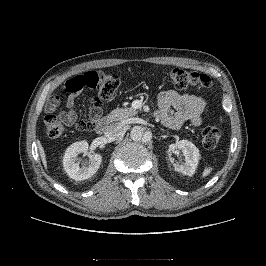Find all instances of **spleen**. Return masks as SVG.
<instances>
[{"instance_id":"1","label":"spleen","mask_w":266,"mask_h":266,"mask_svg":"<svg viewBox=\"0 0 266 266\" xmlns=\"http://www.w3.org/2000/svg\"><path fill=\"white\" fill-rule=\"evenodd\" d=\"M213 170H214V166H208V167H205L204 170H203V172H202L201 177H202V178L207 177L208 175L211 174V172H212Z\"/></svg>"}]
</instances>
